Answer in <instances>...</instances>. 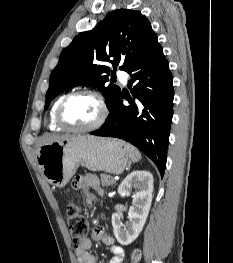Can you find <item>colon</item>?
I'll return each mask as SVG.
<instances>
[{
    "mask_svg": "<svg viewBox=\"0 0 233 263\" xmlns=\"http://www.w3.org/2000/svg\"><path fill=\"white\" fill-rule=\"evenodd\" d=\"M66 214L71 237L74 243L79 245L87 238L88 222L76 205H68ZM141 256L140 249H134L131 253V263H139Z\"/></svg>",
    "mask_w": 233,
    "mask_h": 263,
    "instance_id": "colon-1",
    "label": "colon"
}]
</instances>
